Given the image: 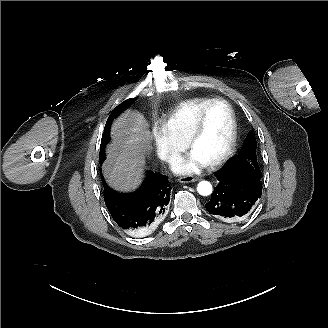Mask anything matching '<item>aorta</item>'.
<instances>
[{"mask_svg":"<svg viewBox=\"0 0 328 328\" xmlns=\"http://www.w3.org/2000/svg\"><path fill=\"white\" fill-rule=\"evenodd\" d=\"M197 191L202 196H208L212 193L213 188L210 182L208 181H201L197 185Z\"/></svg>","mask_w":328,"mask_h":328,"instance_id":"762f6f07","label":"aorta"}]
</instances>
